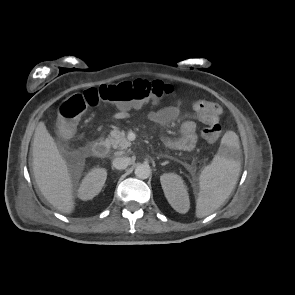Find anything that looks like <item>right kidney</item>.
<instances>
[{
    "label": "right kidney",
    "mask_w": 295,
    "mask_h": 295,
    "mask_svg": "<svg viewBox=\"0 0 295 295\" xmlns=\"http://www.w3.org/2000/svg\"><path fill=\"white\" fill-rule=\"evenodd\" d=\"M107 178L104 168L92 169L82 180L78 189V197L82 200H90L100 193Z\"/></svg>",
    "instance_id": "obj_1"
}]
</instances>
